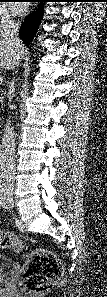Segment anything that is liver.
<instances>
[{
	"label": "liver",
	"mask_w": 107,
	"mask_h": 297,
	"mask_svg": "<svg viewBox=\"0 0 107 297\" xmlns=\"http://www.w3.org/2000/svg\"><path fill=\"white\" fill-rule=\"evenodd\" d=\"M24 45L11 44L6 37L0 35V68L12 70L19 65L24 56Z\"/></svg>",
	"instance_id": "6515ba94"
}]
</instances>
